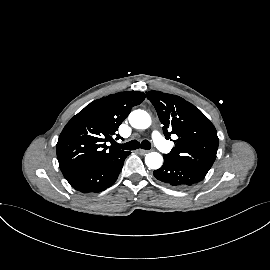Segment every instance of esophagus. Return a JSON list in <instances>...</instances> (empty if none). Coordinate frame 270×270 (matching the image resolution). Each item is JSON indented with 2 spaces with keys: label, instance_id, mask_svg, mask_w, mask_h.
Returning <instances> with one entry per match:
<instances>
[{
  "label": "esophagus",
  "instance_id": "esophagus-1",
  "mask_svg": "<svg viewBox=\"0 0 270 270\" xmlns=\"http://www.w3.org/2000/svg\"><path fill=\"white\" fill-rule=\"evenodd\" d=\"M138 152L141 154V155H145L148 153L147 150H144V149H139Z\"/></svg>",
  "mask_w": 270,
  "mask_h": 270
}]
</instances>
